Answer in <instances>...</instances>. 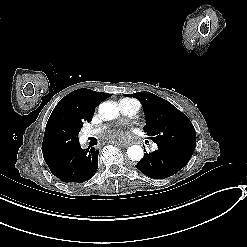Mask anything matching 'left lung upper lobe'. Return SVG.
Segmentation results:
<instances>
[{
  "label": "left lung upper lobe",
  "instance_id": "left-lung-upper-lobe-1",
  "mask_svg": "<svg viewBox=\"0 0 247 247\" xmlns=\"http://www.w3.org/2000/svg\"><path fill=\"white\" fill-rule=\"evenodd\" d=\"M125 96L138 99L144 109V131L160 146H174L193 153L196 132L190 120L165 99L150 92H137Z\"/></svg>",
  "mask_w": 247,
  "mask_h": 247
}]
</instances>
